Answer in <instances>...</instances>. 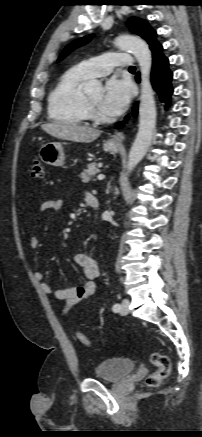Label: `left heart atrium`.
Returning a JSON list of instances; mask_svg holds the SVG:
<instances>
[{
  "label": "left heart atrium",
  "instance_id": "left-heart-atrium-1",
  "mask_svg": "<svg viewBox=\"0 0 202 437\" xmlns=\"http://www.w3.org/2000/svg\"><path fill=\"white\" fill-rule=\"evenodd\" d=\"M132 96L131 84L126 80L110 79L105 86L100 103L103 112L109 115H119L128 106Z\"/></svg>",
  "mask_w": 202,
  "mask_h": 437
}]
</instances>
